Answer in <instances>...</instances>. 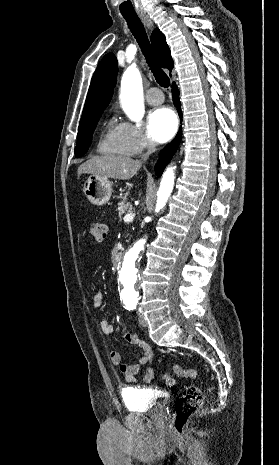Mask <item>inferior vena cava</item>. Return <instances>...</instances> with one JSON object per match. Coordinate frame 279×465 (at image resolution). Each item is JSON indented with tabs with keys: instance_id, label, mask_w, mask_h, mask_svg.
Returning a JSON list of instances; mask_svg holds the SVG:
<instances>
[{
	"instance_id": "602c4592",
	"label": "inferior vena cava",
	"mask_w": 279,
	"mask_h": 465,
	"mask_svg": "<svg viewBox=\"0 0 279 465\" xmlns=\"http://www.w3.org/2000/svg\"><path fill=\"white\" fill-rule=\"evenodd\" d=\"M156 151V143L153 141H149L147 144V152L142 156L143 160H146L150 154Z\"/></svg>"
}]
</instances>
